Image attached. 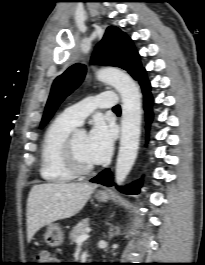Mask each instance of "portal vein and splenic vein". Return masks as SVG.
I'll list each match as a JSON object with an SVG mask.
<instances>
[{
	"mask_svg": "<svg viewBox=\"0 0 205 265\" xmlns=\"http://www.w3.org/2000/svg\"><path fill=\"white\" fill-rule=\"evenodd\" d=\"M88 238H89V235H88L87 233H86V234H83V235H81V236H79L78 239H77V241H76L77 245H78V246L82 245L83 242H84L85 240H87Z\"/></svg>",
	"mask_w": 205,
	"mask_h": 265,
	"instance_id": "18ae733b",
	"label": "portal vein and splenic vein"
}]
</instances>
